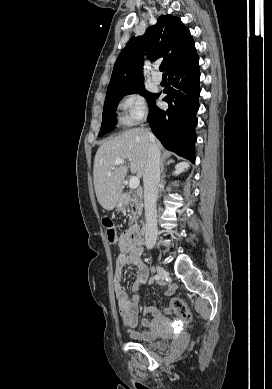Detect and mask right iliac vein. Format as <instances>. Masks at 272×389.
Returning a JSON list of instances; mask_svg holds the SVG:
<instances>
[{"label": "right iliac vein", "instance_id": "right-iliac-vein-1", "mask_svg": "<svg viewBox=\"0 0 272 389\" xmlns=\"http://www.w3.org/2000/svg\"><path fill=\"white\" fill-rule=\"evenodd\" d=\"M153 271H156L157 275L161 279H165L168 276V272L161 266H155L153 267Z\"/></svg>", "mask_w": 272, "mask_h": 389}]
</instances>
